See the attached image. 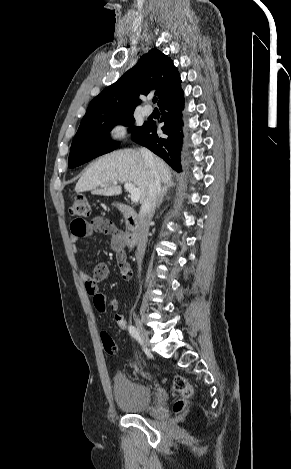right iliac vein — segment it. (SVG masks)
<instances>
[{
    "label": "right iliac vein",
    "instance_id": "obj_1",
    "mask_svg": "<svg viewBox=\"0 0 291 469\" xmlns=\"http://www.w3.org/2000/svg\"><path fill=\"white\" fill-rule=\"evenodd\" d=\"M135 321H136V325H137V329H138L141 341H142L143 345L146 347V349H148L149 339H148L147 331L144 329V327L142 326L140 320L137 317L135 318Z\"/></svg>",
    "mask_w": 291,
    "mask_h": 469
}]
</instances>
